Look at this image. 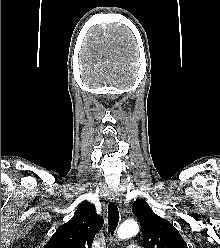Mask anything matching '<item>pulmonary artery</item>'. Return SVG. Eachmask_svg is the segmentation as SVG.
<instances>
[{"label": "pulmonary artery", "mask_w": 220, "mask_h": 248, "mask_svg": "<svg viewBox=\"0 0 220 248\" xmlns=\"http://www.w3.org/2000/svg\"><path fill=\"white\" fill-rule=\"evenodd\" d=\"M127 248H141V247L137 244H130Z\"/></svg>", "instance_id": "obj_1"}]
</instances>
